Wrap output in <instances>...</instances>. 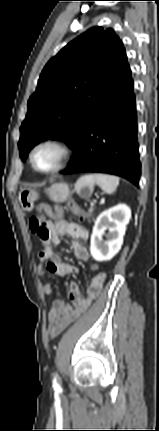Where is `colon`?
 <instances>
[{"label":"colon","instance_id":"colon-1","mask_svg":"<svg viewBox=\"0 0 159 431\" xmlns=\"http://www.w3.org/2000/svg\"><path fill=\"white\" fill-rule=\"evenodd\" d=\"M66 206L76 215H82L83 212L81 209L72 201L66 203ZM63 205H56L54 209H52L48 204L41 203L37 206V211L39 216L32 217L30 219V229L35 234H45L44 224L46 222L45 215H48L52 218H60L63 214ZM98 267L97 263H93V267H91V272H96V268Z\"/></svg>","mask_w":159,"mask_h":431}]
</instances>
